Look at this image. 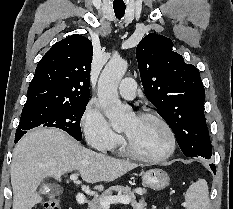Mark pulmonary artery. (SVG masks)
<instances>
[{"label": "pulmonary artery", "instance_id": "e3ab8cb5", "mask_svg": "<svg viewBox=\"0 0 233 209\" xmlns=\"http://www.w3.org/2000/svg\"><path fill=\"white\" fill-rule=\"evenodd\" d=\"M119 93L125 99H133L136 95V82L131 77H125L119 84Z\"/></svg>", "mask_w": 233, "mask_h": 209}]
</instances>
